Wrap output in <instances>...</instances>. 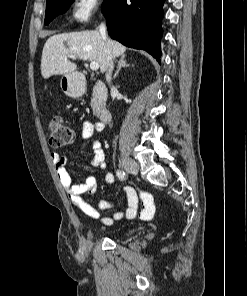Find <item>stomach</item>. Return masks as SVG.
Returning a JSON list of instances; mask_svg holds the SVG:
<instances>
[{"instance_id": "1", "label": "stomach", "mask_w": 247, "mask_h": 296, "mask_svg": "<svg viewBox=\"0 0 247 296\" xmlns=\"http://www.w3.org/2000/svg\"><path fill=\"white\" fill-rule=\"evenodd\" d=\"M62 90L71 97H78L82 94V85L77 80L75 73H69L61 78Z\"/></svg>"}]
</instances>
